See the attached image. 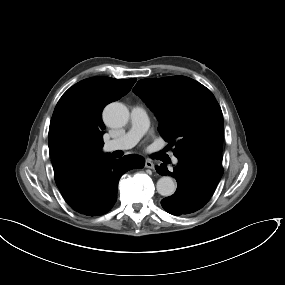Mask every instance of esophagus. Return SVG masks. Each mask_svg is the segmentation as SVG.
<instances>
[{"instance_id": "1", "label": "esophagus", "mask_w": 285, "mask_h": 285, "mask_svg": "<svg viewBox=\"0 0 285 285\" xmlns=\"http://www.w3.org/2000/svg\"><path fill=\"white\" fill-rule=\"evenodd\" d=\"M145 167H146V168H149V169H154L155 165H154V163H153L151 160L146 159V161H145Z\"/></svg>"}]
</instances>
